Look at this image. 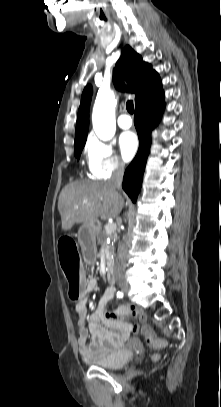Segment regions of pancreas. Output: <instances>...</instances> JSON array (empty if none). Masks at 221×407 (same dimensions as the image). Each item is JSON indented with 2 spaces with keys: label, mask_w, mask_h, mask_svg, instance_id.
Segmentation results:
<instances>
[{
  "label": "pancreas",
  "mask_w": 221,
  "mask_h": 407,
  "mask_svg": "<svg viewBox=\"0 0 221 407\" xmlns=\"http://www.w3.org/2000/svg\"><path fill=\"white\" fill-rule=\"evenodd\" d=\"M109 236H110V235L107 234L106 231H103V232L101 233V235H100V239L98 240V243H99L100 245H103L104 242H105V240H106V238L109 237ZM105 256H106V259H107L108 264H109L110 258H109V256H108V251H107L106 249H105Z\"/></svg>",
  "instance_id": "1"
}]
</instances>
